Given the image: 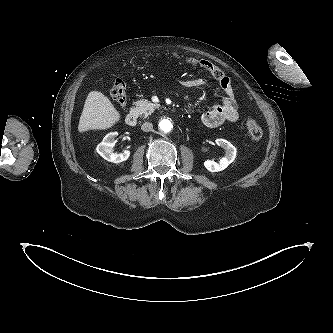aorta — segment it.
<instances>
[{"mask_svg": "<svg viewBox=\"0 0 333 333\" xmlns=\"http://www.w3.org/2000/svg\"><path fill=\"white\" fill-rule=\"evenodd\" d=\"M159 129L162 132L168 133L171 131L172 129V123L171 121L167 120V119H163L159 122Z\"/></svg>", "mask_w": 333, "mask_h": 333, "instance_id": "1", "label": "aorta"}]
</instances>
